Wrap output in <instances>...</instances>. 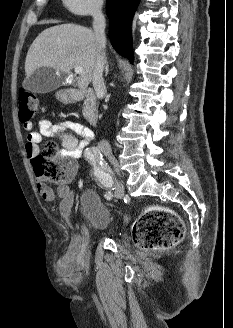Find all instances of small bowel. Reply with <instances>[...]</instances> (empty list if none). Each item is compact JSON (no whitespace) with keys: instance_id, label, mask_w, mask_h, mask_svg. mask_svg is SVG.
Returning a JSON list of instances; mask_svg holds the SVG:
<instances>
[{"instance_id":"c3829d8e","label":"small bowel","mask_w":233,"mask_h":328,"mask_svg":"<svg viewBox=\"0 0 233 328\" xmlns=\"http://www.w3.org/2000/svg\"><path fill=\"white\" fill-rule=\"evenodd\" d=\"M24 129L27 131L25 152L28 157L33 158L38 150L43 137L57 138L61 143L60 154L63 158L75 160L80 158L90 149V143L93 139V132L83 124L64 120L53 124L50 120H43L39 125V131L32 130L30 122L24 123ZM74 166L71 165V172L62 183L57 185L56 191L47 186L43 181H38L37 188L40 196L47 202H52L56 197L61 199L60 213L65 219H69L74 204V193L68 185V181L73 177ZM59 267L64 274L65 285L72 287L80 285L82 282L81 273L75 268L72 257L65 254L59 260Z\"/></svg>"}]
</instances>
